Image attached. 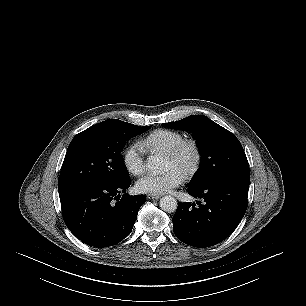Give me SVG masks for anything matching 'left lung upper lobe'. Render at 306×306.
Here are the masks:
<instances>
[{"label": "left lung upper lobe", "instance_id": "5c2ea615", "mask_svg": "<svg viewBox=\"0 0 306 306\" xmlns=\"http://www.w3.org/2000/svg\"><path fill=\"white\" fill-rule=\"evenodd\" d=\"M192 132L201 154L198 171L189 187L225 177H250L243 147L234 134L203 115L162 124Z\"/></svg>", "mask_w": 306, "mask_h": 306}]
</instances>
